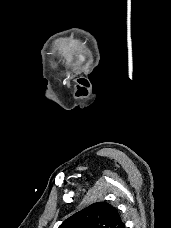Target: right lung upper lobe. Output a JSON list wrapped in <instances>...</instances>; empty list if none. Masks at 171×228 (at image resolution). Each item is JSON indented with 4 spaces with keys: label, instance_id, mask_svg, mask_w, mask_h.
I'll return each instance as SVG.
<instances>
[{
    "label": "right lung upper lobe",
    "instance_id": "obj_1",
    "mask_svg": "<svg viewBox=\"0 0 171 228\" xmlns=\"http://www.w3.org/2000/svg\"><path fill=\"white\" fill-rule=\"evenodd\" d=\"M58 228H126L117 209L96 202L66 219Z\"/></svg>",
    "mask_w": 171,
    "mask_h": 228
}]
</instances>
